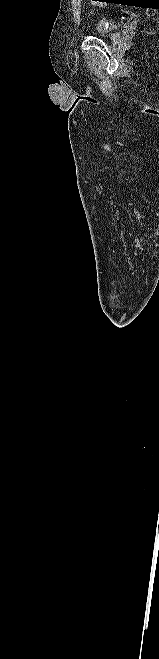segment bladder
<instances>
[{"label": "bladder", "instance_id": "1", "mask_svg": "<svg viewBox=\"0 0 159 659\" xmlns=\"http://www.w3.org/2000/svg\"><path fill=\"white\" fill-rule=\"evenodd\" d=\"M115 31L114 27H107L103 21L95 25V34L98 37H108Z\"/></svg>", "mask_w": 159, "mask_h": 659}]
</instances>
